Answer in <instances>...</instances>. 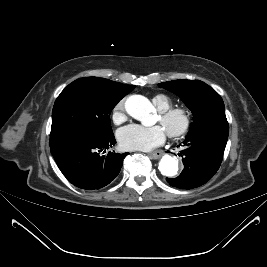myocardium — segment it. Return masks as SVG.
<instances>
[{
	"instance_id": "myocardium-1",
	"label": "myocardium",
	"mask_w": 267,
	"mask_h": 267,
	"mask_svg": "<svg viewBox=\"0 0 267 267\" xmlns=\"http://www.w3.org/2000/svg\"><path fill=\"white\" fill-rule=\"evenodd\" d=\"M160 121L162 124L169 126L173 121H178L177 128H168L167 134L172 139L184 137L191 129L192 118L188 110L184 108H169L161 111Z\"/></svg>"
}]
</instances>
